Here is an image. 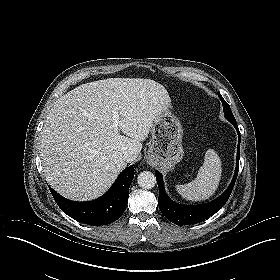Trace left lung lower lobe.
<instances>
[{"mask_svg": "<svg viewBox=\"0 0 280 280\" xmlns=\"http://www.w3.org/2000/svg\"><path fill=\"white\" fill-rule=\"evenodd\" d=\"M233 126L238 132L236 170L228 189L214 201L203 205L192 206L177 204L176 202L172 201L166 194L161 173L159 171L155 172L156 180L159 187L158 204L160 211L168 220H170L174 224L183 226L199 223L218 212L227 202L237 179L240 159V132L237 124H233Z\"/></svg>", "mask_w": 280, "mask_h": 280, "instance_id": "1", "label": "left lung lower lobe"}]
</instances>
